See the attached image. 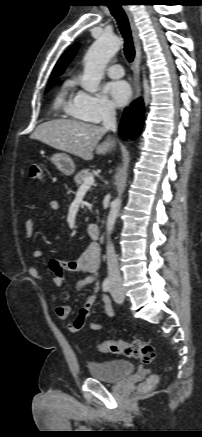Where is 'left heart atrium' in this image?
Here are the masks:
<instances>
[{"label": "left heart atrium", "instance_id": "39dd6f15", "mask_svg": "<svg viewBox=\"0 0 202 437\" xmlns=\"http://www.w3.org/2000/svg\"><path fill=\"white\" fill-rule=\"evenodd\" d=\"M106 90L118 106L125 105L132 96L130 85L123 80L108 83Z\"/></svg>", "mask_w": 202, "mask_h": 437}]
</instances>
